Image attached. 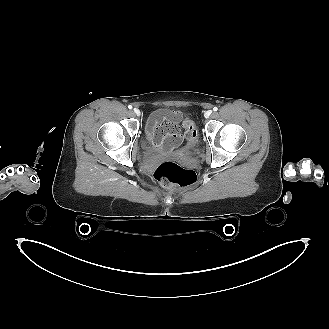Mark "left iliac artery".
I'll return each instance as SVG.
<instances>
[{
    "label": "left iliac artery",
    "instance_id": "44dca946",
    "mask_svg": "<svg viewBox=\"0 0 329 329\" xmlns=\"http://www.w3.org/2000/svg\"><path fill=\"white\" fill-rule=\"evenodd\" d=\"M217 110H218V108H217V107H214V108H213V111H215V112H216Z\"/></svg>",
    "mask_w": 329,
    "mask_h": 329
}]
</instances>
